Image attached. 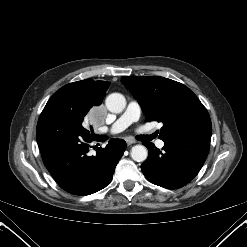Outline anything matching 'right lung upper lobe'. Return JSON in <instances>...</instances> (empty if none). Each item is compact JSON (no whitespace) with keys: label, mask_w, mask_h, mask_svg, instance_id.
<instances>
[{"label":"right lung upper lobe","mask_w":247,"mask_h":247,"mask_svg":"<svg viewBox=\"0 0 247 247\" xmlns=\"http://www.w3.org/2000/svg\"><path fill=\"white\" fill-rule=\"evenodd\" d=\"M68 85L78 86L82 90L95 96L98 101L102 102L106 90L108 89L110 83L104 81H94L92 79H86L82 81L73 82Z\"/></svg>","instance_id":"1"}]
</instances>
